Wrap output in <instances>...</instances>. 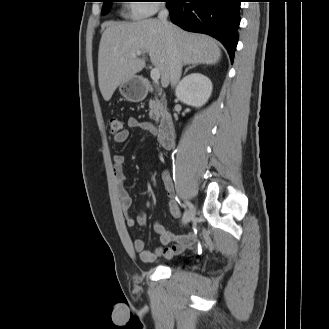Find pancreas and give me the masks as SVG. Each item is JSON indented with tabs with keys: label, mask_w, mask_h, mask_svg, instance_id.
Returning <instances> with one entry per match:
<instances>
[{
	"label": "pancreas",
	"mask_w": 329,
	"mask_h": 329,
	"mask_svg": "<svg viewBox=\"0 0 329 329\" xmlns=\"http://www.w3.org/2000/svg\"><path fill=\"white\" fill-rule=\"evenodd\" d=\"M149 117L150 119H153L155 122L159 121L160 115L165 111L166 104L164 102V99L158 100V99H152L149 102Z\"/></svg>",
	"instance_id": "cf45deb5"
}]
</instances>
